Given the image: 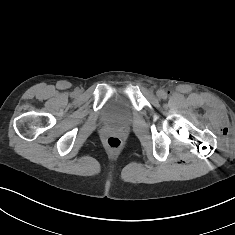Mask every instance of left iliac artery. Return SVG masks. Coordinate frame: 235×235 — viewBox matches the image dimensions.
<instances>
[{
	"label": "left iliac artery",
	"instance_id": "obj_1",
	"mask_svg": "<svg viewBox=\"0 0 235 235\" xmlns=\"http://www.w3.org/2000/svg\"><path fill=\"white\" fill-rule=\"evenodd\" d=\"M162 98H164V99L167 98V94L165 92H163Z\"/></svg>",
	"mask_w": 235,
	"mask_h": 235
}]
</instances>
